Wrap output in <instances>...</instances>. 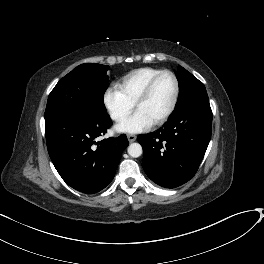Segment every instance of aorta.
Returning <instances> with one entry per match:
<instances>
[{"label": "aorta", "mask_w": 264, "mask_h": 264, "mask_svg": "<svg viewBox=\"0 0 264 264\" xmlns=\"http://www.w3.org/2000/svg\"><path fill=\"white\" fill-rule=\"evenodd\" d=\"M128 154L131 157L137 158L142 154V147L139 143H132L128 147Z\"/></svg>", "instance_id": "aorta-1"}]
</instances>
